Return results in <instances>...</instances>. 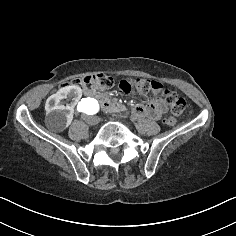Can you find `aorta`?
Instances as JSON below:
<instances>
[{
    "mask_svg": "<svg viewBox=\"0 0 236 236\" xmlns=\"http://www.w3.org/2000/svg\"><path fill=\"white\" fill-rule=\"evenodd\" d=\"M99 110V103L94 98H86L83 100L80 111L84 116H89L97 113Z\"/></svg>",
    "mask_w": 236,
    "mask_h": 236,
    "instance_id": "obj_1",
    "label": "aorta"
}]
</instances>
